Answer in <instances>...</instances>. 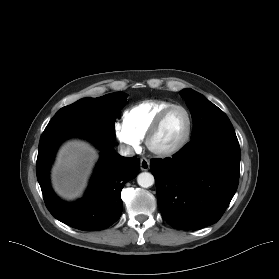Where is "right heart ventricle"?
<instances>
[{
	"label": "right heart ventricle",
	"instance_id": "obj_1",
	"mask_svg": "<svg viewBox=\"0 0 279 279\" xmlns=\"http://www.w3.org/2000/svg\"><path fill=\"white\" fill-rule=\"evenodd\" d=\"M172 104L165 100H145L123 113L122 124L140 140L144 139L158 114Z\"/></svg>",
	"mask_w": 279,
	"mask_h": 279
}]
</instances>
